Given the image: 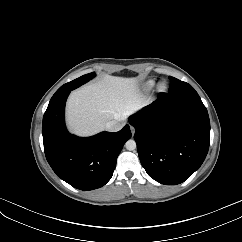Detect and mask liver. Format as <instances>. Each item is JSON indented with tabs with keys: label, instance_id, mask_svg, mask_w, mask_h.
I'll return each instance as SVG.
<instances>
[{
	"label": "liver",
	"instance_id": "1",
	"mask_svg": "<svg viewBox=\"0 0 242 242\" xmlns=\"http://www.w3.org/2000/svg\"><path fill=\"white\" fill-rule=\"evenodd\" d=\"M147 102L136 78L104 75L71 93L66 106L67 124L73 133L90 136L104 130L109 121L126 120Z\"/></svg>",
	"mask_w": 242,
	"mask_h": 242
}]
</instances>
